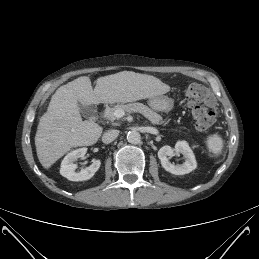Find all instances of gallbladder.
<instances>
[{
  "mask_svg": "<svg viewBox=\"0 0 259 259\" xmlns=\"http://www.w3.org/2000/svg\"><path fill=\"white\" fill-rule=\"evenodd\" d=\"M80 111L85 118L93 119L96 116V109L93 105L84 106L79 104Z\"/></svg>",
  "mask_w": 259,
  "mask_h": 259,
  "instance_id": "1",
  "label": "gallbladder"
}]
</instances>
